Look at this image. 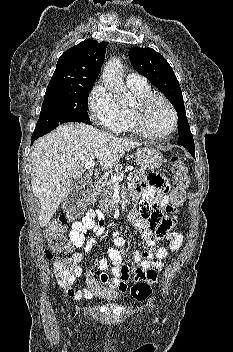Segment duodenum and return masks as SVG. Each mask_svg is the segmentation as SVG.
Listing matches in <instances>:
<instances>
[{
  "mask_svg": "<svg viewBox=\"0 0 233 352\" xmlns=\"http://www.w3.org/2000/svg\"><path fill=\"white\" fill-rule=\"evenodd\" d=\"M101 190V183L99 181H96L92 187V192L94 194L98 193Z\"/></svg>",
  "mask_w": 233,
  "mask_h": 352,
  "instance_id": "410a0bca",
  "label": "duodenum"
}]
</instances>
